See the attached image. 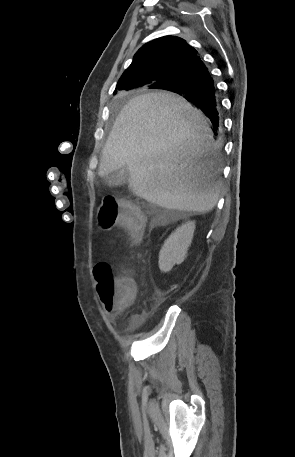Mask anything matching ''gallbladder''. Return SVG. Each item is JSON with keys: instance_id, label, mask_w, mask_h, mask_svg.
Here are the masks:
<instances>
[{"instance_id": "gallbladder-1", "label": "gallbladder", "mask_w": 295, "mask_h": 457, "mask_svg": "<svg viewBox=\"0 0 295 457\" xmlns=\"http://www.w3.org/2000/svg\"><path fill=\"white\" fill-rule=\"evenodd\" d=\"M130 179V173L127 167H123L117 171L111 172L105 178L106 182L110 186H119L127 183Z\"/></svg>"}]
</instances>
